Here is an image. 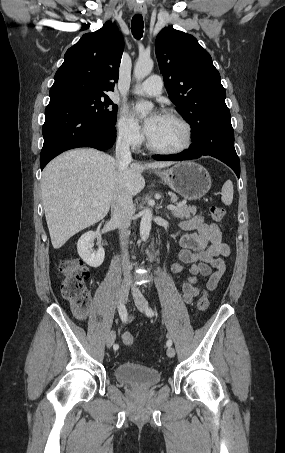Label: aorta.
<instances>
[{"label":"aorta","mask_w":285,"mask_h":453,"mask_svg":"<svg viewBox=\"0 0 285 453\" xmlns=\"http://www.w3.org/2000/svg\"><path fill=\"white\" fill-rule=\"evenodd\" d=\"M154 66V62L150 57L140 56L134 67V77L137 81L143 80L147 77ZM153 103L145 100H140L136 103V110L141 116H146L153 109ZM152 210L146 208L143 211V216L140 222V236L141 239L146 241L149 237L151 230Z\"/></svg>","instance_id":"aorta-1"}]
</instances>
